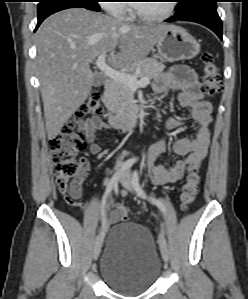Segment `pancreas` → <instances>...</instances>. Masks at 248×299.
<instances>
[{"label":"pancreas","instance_id":"obj_1","mask_svg":"<svg viewBox=\"0 0 248 299\" xmlns=\"http://www.w3.org/2000/svg\"><path fill=\"white\" fill-rule=\"evenodd\" d=\"M165 69V65L155 58H146L129 68L127 74L140 78H155ZM106 107L121 117L133 115L136 110L132 89L119 81H112L109 89L105 92Z\"/></svg>","mask_w":248,"mask_h":299}]
</instances>
